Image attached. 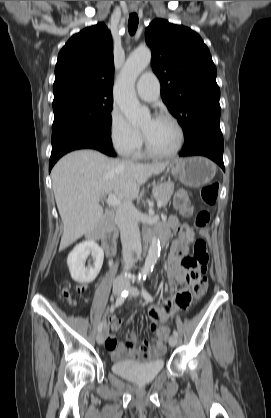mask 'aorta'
<instances>
[{"label": "aorta", "mask_w": 271, "mask_h": 418, "mask_svg": "<svg viewBox=\"0 0 271 418\" xmlns=\"http://www.w3.org/2000/svg\"><path fill=\"white\" fill-rule=\"evenodd\" d=\"M151 61V51L137 49L130 54L121 72L116 91V102L132 125H142L150 120V111L141 106L135 93V82ZM160 256V242L156 236L151 239L148 255L142 270L143 275L152 271Z\"/></svg>", "instance_id": "1"}]
</instances>
